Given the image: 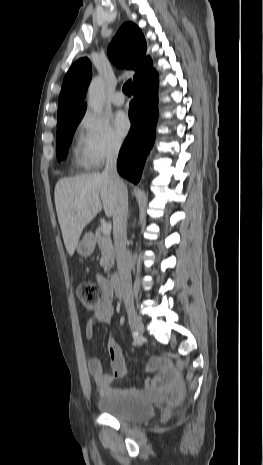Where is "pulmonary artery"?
I'll return each instance as SVG.
<instances>
[{"label":"pulmonary artery","mask_w":263,"mask_h":465,"mask_svg":"<svg viewBox=\"0 0 263 465\" xmlns=\"http://www.w3.org/2000/svg\"><path fill=\"white\" fill-rule=\"evenodd\" d=\"M111 101L115 106H121L124 104L125 98L122 92L117 91L113 94Z\"/></svg>","instance_id":"pulmonary-artery-1"}]
</instances>
